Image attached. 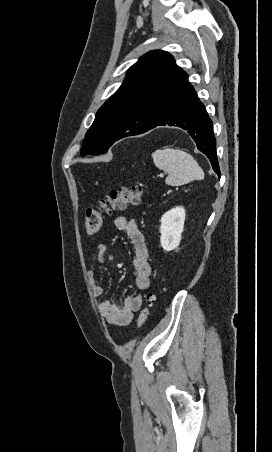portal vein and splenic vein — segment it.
<instances>
[{
    "mask_svg": "<svg viewBox=\"0 0 272 452\" xmlns=\"http://www.w3.org/2000/svg\"><path fill=\"white\" fill-rule=\"evenodd\" d=\"M164 175L163 174H160V177H163Z\"/></svg>",
    "mask_w": 272,
    "mask_h": 452,
    "instance_id": "obj_1",
    "label": "portal vein and splenic vein"
}]
</instances>
